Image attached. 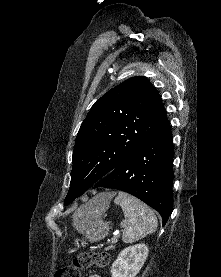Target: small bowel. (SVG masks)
Here are the masks:
<instances>
[{"label":"small bowel","mask_w":221,"mask_h":277,"mask_svg":"<svg viewBox=\"0 0 221 277\" xmlns=\"http://www.w3.org/2000/svg\"><path fill=\"white\" fill-rule=\"evenodd\" d=\"M88 277H101L98 274H90Z\"/></svg>","instance_id":"obj_1"}]
</instances>
